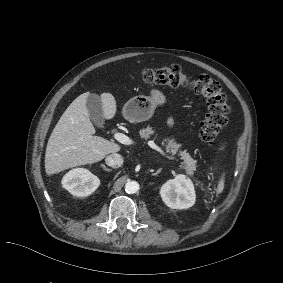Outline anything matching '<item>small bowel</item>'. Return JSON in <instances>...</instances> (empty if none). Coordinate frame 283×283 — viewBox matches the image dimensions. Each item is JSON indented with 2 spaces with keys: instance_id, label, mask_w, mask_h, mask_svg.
Segmentation results:
<instances>
[{
  "instance_id": "small-bowel-1",
  "label": "small bowel",
  "mask_w": 283,
  "mask_h": 283,
  "mask_svg": "<svg viewBox=\"0 0 283 283\" xmlns=\"http://www.w3.org/2000/svg\"><path fill=\"white\" fill-rule=\"evenodd\" d=\"M167 124H168L169 127H173V125H174V119H173V118H169V119L167 120Z\"/></svg>"
}]
</instances>
